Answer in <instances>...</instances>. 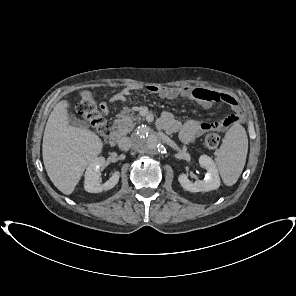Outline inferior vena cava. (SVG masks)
<instances>
[{
    "mask_svg": "<svg viewBox=\"0 0 296 296\" xmlns=\"http://www.w3.org/2000/svg\"><path fill=\"white\" fill-rule=\"evenodd\" d=\"M118 146L122 150H128V149H130L131 146H132V140H131V138H129V137H122L119 140Z\"/></svg>",
    "mask_w": 296,
    "mask_h": 296,
    "instance_id": "obj_1",
    "label": "inferior vena cava"
}]
</instances>
